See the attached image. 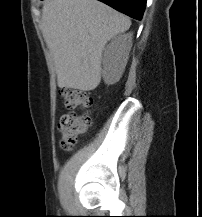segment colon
Segmentation results:
<instances>
[{"label": "colon", "instance_id": "1", "mask_svg": "<svg viewBox=\"0 0 202 217\" xmlns=\"http://www.w3.org/2000/svg\"><path fill=\"white\" fill-rule=\"evenodd\" d=\"M62 97L67 112L60 117L58 123L61 132L60 146L63 150L70 151L87 131L91 122L88 113L79 115L75 110L91 107L93 99L86 92L74 89H64Z\"/></svg>", "mask_w": 202, "mask_h": 217}]
</instances>
